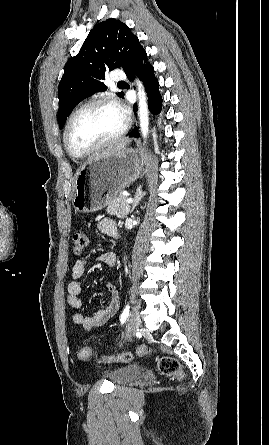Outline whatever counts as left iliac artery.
I'll use <instances>...</instances> for the list:
<instances>
[{
    "label": "left iliac artery",
    "instance_id": "1",
    "mask_svg": "<svg viewBox=\"0 0 269 445\" xmlns=\"http://www.w3.org/2000/svg\"><path fill=\"white\" fill-rule=\"evenodd\" d=\"M129 308H130L129 304H127L125 309L123 310L121 316H120L121 324H123L126 321L128 315H129Z\"/></svg>",
    "mask_w": 269,
    "mask_h": 445
}]
</instances>
